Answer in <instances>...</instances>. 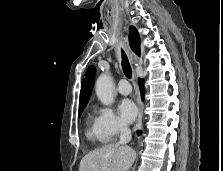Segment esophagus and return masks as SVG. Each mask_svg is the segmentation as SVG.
Returning <instances> with one entry per match:
<instances>
[{
    "mask_svg": "<svg viewBox=\"0 0 223 171\" xmlns=\"http://www.w3.org/2000/svg\"><path fill=\"white\" fill-rule=\"evenodd\" d=\"M139 108H140V111H141V109H142V103L141 102H139Z\"/></svg>",
    "mask_w": 223,
    "mask_h": 171,
    "instance_id": "1",
    "label": "esophagus"
}]
</instances>
